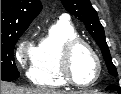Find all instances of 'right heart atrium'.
I'll return each instance as SVG.
<instances>
[{
	"label": "right heart atrium",
	"mask_w": 121,
	"mask_h": 94,
	"mask_svg": "<svg viewBox=\"0 0 121 94\" xmlns=\"http://www.w3.org/2000/svg\"><path fill=\"white\" fill-rule=\"evenodd\" d=\"M34 47L32 44L22 45L15 52V58L18 64L22 67L25 66L28 60H32Z\"/></svg>",
	"instance_id": "1"
}]
</instances>
